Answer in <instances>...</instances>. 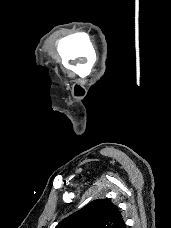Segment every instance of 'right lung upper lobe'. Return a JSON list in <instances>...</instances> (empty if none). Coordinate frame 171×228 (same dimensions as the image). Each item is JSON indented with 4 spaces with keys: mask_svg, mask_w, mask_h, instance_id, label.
<instances>
[{
    "mask_svg": "<svg viewBox=\"0 0 171 228\" xmlns=\"http://www.w3.org/2000/svg\"><path fill=\"white\" fill-rule=\"evenodd\" d=\"M55 228H126L116 205L97 199L61 221Z\"/></svg>",
    "mask_w": 171,
    "mask_h": 228,
    "instance_id": "obj_1",
    "label": "right lung upper lobe"
}]
</instances>
